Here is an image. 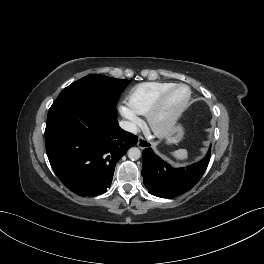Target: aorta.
Listing matches in <instances>:
<instances>
[{
    "label": "aorta",
    "mask_w": 264,
    "mask_h": 264,
    "mask_svg": "<svg viewBox=\"0 0 264 264\" xmlns=\"http://www.w3.org/2000/svg\"><path fill=\"white\" fill-rule=\"evenodd\" d=\"M141 156V151L139 148L137 147H132L128 150V157L131 159V160H137L139 159Z\"/></svg>",
    "instance_id": "1"
}]
</instances>
